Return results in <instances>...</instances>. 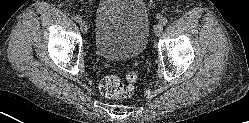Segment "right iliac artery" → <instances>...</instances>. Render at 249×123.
<instances>
[{"label":"right iliac artery","instance_id":"1","mask_svg":"<svg viewBox=\"0 0 249 123\" xmlns=\"http://www.w3.org/2000/svg\"><path fill=\"white\" fill-rule=\"evenodd\" d=\"M74 20L77 22V23H80L82 21V17L77 15L75 16Z\"/></svg>","mask_w":249,"mask_h":123}]
</instances>
